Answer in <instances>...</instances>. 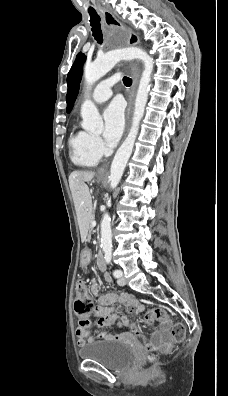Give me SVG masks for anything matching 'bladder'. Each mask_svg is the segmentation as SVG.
<instances>
[{
  "label": "bladder",
  "mask_w": 228,
  "mask_h": 396,
  "mask_svg": "<svg viewBox=\"0 0 228 396\" xmlns=\"http://www.w3.org/2000/svg\"><path fill=\"white\" fill-rule=\"evenodd\" d=\"M79 356L112 370H124L134 360V352L130 345L118 339L88 343L79 349Z\"/></svg>",
  "instance_id": "bladder-1"
}]
</instances>
